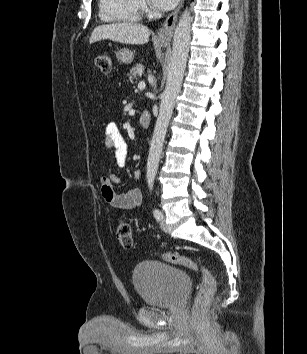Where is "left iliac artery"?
Instances as JSON below:
<instances>
[{
	"label": "left iliac artery",
	"instance_id": "obj_1",
	"mask_svg": "<svg viewBox=\"0 0 307 354\" xmlns=\"http://www.w3.org/2000/svg\"><path fill=\"white\" fill-rule=\"evenodd\" d=\"M150 187V190H152L153 189V186L152 185H150L149 186ZM153 215H154V217L157 219V220H161V218H162V213L159 211V209H154L153 210Z\"/></svg>",
	"mask_w": 307,
	"mask_h": 354
}]
</instances>
